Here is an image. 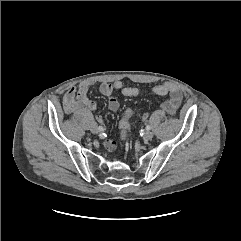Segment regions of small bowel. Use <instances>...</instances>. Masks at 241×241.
I'll list each match as a JSON object with an SVG mask.
<instances>
[{
    "mask_svg": "<svg viewBox=\"0 0 241 241\" xmlns=\"http://www.w3.org/2000/svg\"><path fill=\"white\" fill-rule=\"evenodd\" d=\"M93 85L92 82H83L78 86H72L67 89L63 95V107L67 114L74 113L81 109L95 110L97 103L88 96V90ZM152 93L164 96L169 95V99L162 104V108L170 115H175L182 101V92L172 83H162L155 85L149 89ZM101 94L108 98V109L116 112L119 109V100L114 96V92L118 91L123 96L134 97L143 93L145 90L139 87L125 86L120 80L114 82L102 83L99 85ZM147 115L144 116L146 118ZM104 146L107 150L113 151L116 143L113 140H105Z\"/></svg>",
    "mask_w": 241,
    "mask_h": 241,
    "instance_id": "c3829d8e",
    "label": "small bowel"
}]
</instances>
